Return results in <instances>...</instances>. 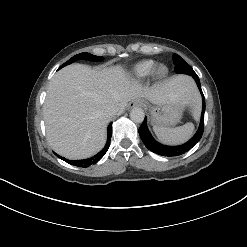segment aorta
<instances>
[{
	"label": "aorta",
	"mask_w": 247,
	"mask_h": 247,
	"mask_svg": "<svg viewBox=\"0 0 247 247\" xmlns=\"http://www.w3.org/2000/svg\"><path fill=\"white\" fill-rule=\"evenodd\" d=\"M130 118L135 123H141L144 120V111L141 108H133L130 111Z\"/></svg>",
	"instance_id": "1"
}]
</instances>
